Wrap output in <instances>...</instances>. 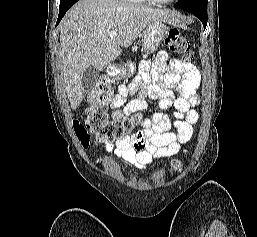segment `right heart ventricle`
<instances>
[{
  "label": "right heart ventricle",
  "instance_id": "1",
  "mask_svg": "<svg viewBox=\"0 0 257 237\" xmlns=\"http://www.w3.org/2000/svg\"><path fill=\"white\" fill-rule=\"evenodd\" d=\"M122 1H127V2H137V3H139V2H142V1H144V0H122Z\"/></svg>",
  "mask_w": 257,
  "mask_h": 237
}]
</instances>
